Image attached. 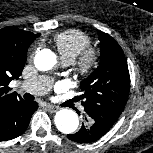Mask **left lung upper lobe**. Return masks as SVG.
<instances>
[{"mask_svg": "<svg viewBox=\"0 0 153 153\" xmlns=\"http://www.w3.org/2000/svg\"><path fill=\"white\" fill-rule=\"evenodd\" d=\"M101 41L100 64L81 83V104L86 116L110 130L122 113L130 89V76L125 55L119 44L108 34L98 33Z\"/></svg>", "mask_w": 153, "mask_h": 153, "instance_id": "5c2ea615", "label": "left lung upper lobe"}]
</instances>
